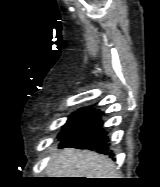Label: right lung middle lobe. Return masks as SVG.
<instances>
[{"mask_svg": "<svg viewBox=\"0 0 160 187\" xmlns=\"http://www.w3.org/2000/svg\"><path fill=\"white\" fill-rule=\"evenodd\" d=\"M94 113V108H81L77 112L73 113L64 125L58 139L61 140L64 137L74 133L83 124H85L94 115Z\"/></svg>", "mask_w": 160, "mask_h": 187, "instance_id": "1", "label": "right lung middle lobe"}]
</instances>
